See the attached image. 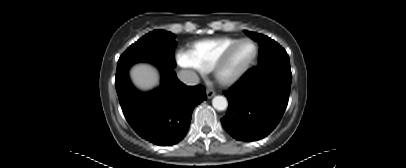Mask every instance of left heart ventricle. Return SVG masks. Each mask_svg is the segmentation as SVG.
Returning <instances> with one entry per match:
<instances>
[{
    "instance_id": "left-heart-ventricle-1",
    "label": "left heart ventricle",
    "mask_w": 406,
    "mask_h": 168,
    "mask_svg": "<svg viewBox=\"0 0 406 168\" xmlns=\"http://www.w3.org/2000/svg\"><path fill=\"white\" fill-rule=\"evenodd\" d=\"M254 52V46L251 43L245 42L238 46L231 59L229 60L225 73L230 74L240 68Z\"/></svg>"
}]
</instances>
